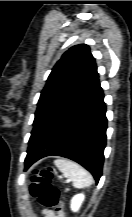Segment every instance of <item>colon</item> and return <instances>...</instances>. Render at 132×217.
I'll return each mask as SVG.
<instances>
[{
  "label": "colon",
  "instance_id": "colon-1",
  "mask_svg": "<svg viewBox=\"0 0 132 217\" xmlns=\"http://www.w3.org/2000/svg\"><path fill=\"white\" fill-rule=\"evenodd\" d=\"M53 177L54 170L50 167L35 170L32 177L31 194L42 207L63 213L59 189L52 184Z\"/></svg>",
  "mask_w": 132,
  "mask_h": 217
}]
</instances>
